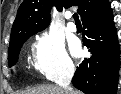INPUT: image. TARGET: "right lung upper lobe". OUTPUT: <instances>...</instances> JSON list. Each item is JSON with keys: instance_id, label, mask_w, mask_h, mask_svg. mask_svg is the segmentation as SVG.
<instances>
[{"instance_id": "right-lung-upper-lobe-1", "label": "right lung upper lobe", "mask_w": 121, "mask_h": 94, "mask_svg": "<svg viewBox=\"0 0 121 94\" xmlns=\"http://www.w3.org/2000/svg\"><path fill=\"white\" fill-rule=\"evenodd\" d=\"M107 0H24L13 23L10 41L27 30H43L50 23L52 6L58 11L72 5L78 6L81 19L102 7Z\"/></svg>"}]
</instances>
